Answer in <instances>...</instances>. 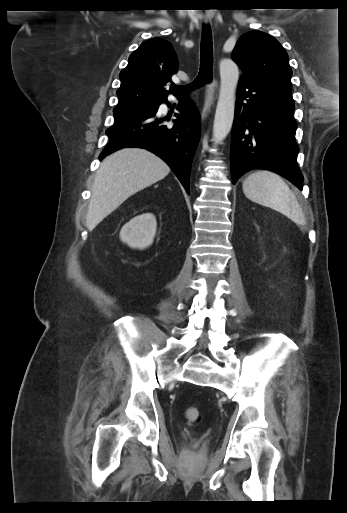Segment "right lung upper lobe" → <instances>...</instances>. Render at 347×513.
Listing matches in <instances>:
<instances>
[{
  "label": "right lung upper lobe",
  "instance_id": "1",
  "mask_svg": "<svg viewBox=\"0 0 347 513\" xmlns=\"http://www.w3.org/2000/svg\"><path fill=\"white\" fill-rule=\"evenodd\" d=\"M175 73L177 59L172 45L160 38L145 41L130 55L127 67L119 75L117 106L164 101L169 93L179 95L173 88H164Z\"/></svg>",
  "mask_w": 347,
  "mask_h": 513
}]
</instances>
